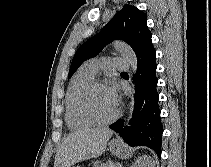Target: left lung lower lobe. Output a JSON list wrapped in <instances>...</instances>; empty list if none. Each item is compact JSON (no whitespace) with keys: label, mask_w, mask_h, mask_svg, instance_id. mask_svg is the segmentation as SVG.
<instances>
[{"label":"left lung lower lobe","mask_w":211,"mask_h":167,"mask_svg":"<svg viewBox=\"0 0 211 167\" xmlns=\"http://www.w3.org/2000/svg\"><path fill=\"white\" fill-rule=\"evenodd\" d=\"M155 49L138 63L135 74V103L130 127L119 119L110 128L130 146H147L160 157L163 126L158 105Z\"/></svg>","instance_id":"left-lung-lower-lobe-1"}]
</instances>
